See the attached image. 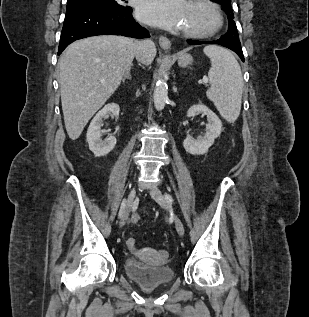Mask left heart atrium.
Returning <instances> with one entry per match:
<instances>
[{"label": "left heart atrium", "instance_id": "obj_1", "mask_svg": "<svg viewBox=\"0 0 309 317\" xmlns=\"http://www.w3.org/2000/svg\"><path fill=\"white\" fill-rule=\"evenodd\" d=\"M188 6L187 0H139L136 14L147 24L174 31L183 28Z\"/></svg>", "mask_w": 309, "mask_h": 317}]
</instances>
